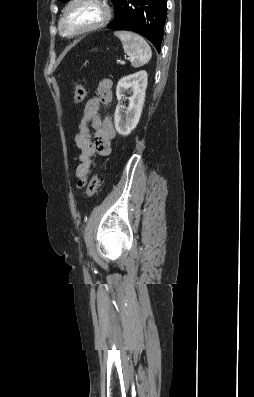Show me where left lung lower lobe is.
I'll list each match as a JSON object with an SVG mask.
<instances>
[{
  "mask_svg": "<svg viewBox=\"0 0 254 397\" xmlns=\"http://www.w3.org/2000/svg\"><path fill=\"white\" fill-rule=\"evenodd\" d=\"M116 12L110 29L132 30L160 52L167 15L166 0H113Z\"/></svg>",
  "mask_w": 254,
  "mask_h": 397,
  "instance_id": "obj_1",
  "label": "left lung lower lobe"
}]
</instances>
